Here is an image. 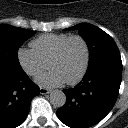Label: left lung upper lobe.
I'll use <instances>...</instances> for the list:
<instances>
[{"instance_id":"1","label":"left lung upper lobe","mask_w":128,"mask_h":128,"mask_svg":"<svg viewBox=\"0 0 128 128\" xmlns=\"http://www.w3.org/2000/svg\"><path fill=\"white\" fill-rule=\"evenodd\" d=\"M68 29L78 30L87 42L89 48V65L105 56H120L118 47L112 37L100 28L92 24L80 23Z\"/></svg>"}]
</instances>
